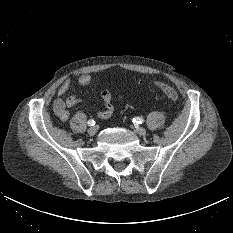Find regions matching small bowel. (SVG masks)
Masks as SVG:
<instances>
[{
  "mask_svg": "<svg viewBox=\"0 0 233 233\" xmlns=\"http://www.w3.org/2000/svg\"><path fill=\"white\" fill-rule=\"evenodd\" d=\"M92 77L89 74H82L78 78V84L83 87H87L92 84ZM71 86V81L66 79L59 86L56 95L57 98L53 104L54 114L58 119L65 122L69 118V109L76 106L80 99L74 95H71L67 98H63L66 92L69 90ZM101 100L103 103V109L97 113V117L100 119H108L112 116L114 112L113 100L114 95L108 90H102L100 93ZM121 96V95H120Z\"/></svg>",
  "mask_w": 233,
  "mask_h": 233,
  "instance_id": "small-bowel-1",
  "label": "small bowel"
}]
</instances>
